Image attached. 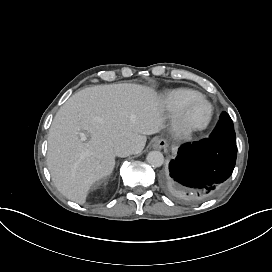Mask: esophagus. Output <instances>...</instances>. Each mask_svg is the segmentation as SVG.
I'll return each mask as SVG.
<instances>
[{
  "mask_svg": "<svg viewBox=\"0 0 272 272\" xmlns=\"http://www.w3.org/2000/svg\"><path fill=\"white\" fill-rule=\"evenodd\" d=\"M169 145L168 141L164 138H155L153 141V148L161 150L167 148Z\"/></svg>",
  "mask_w": 272,
  "mask_h": 272,
  "instance_id": "esophagus-1",
  "label": "esophagus"
}]
</instances>
